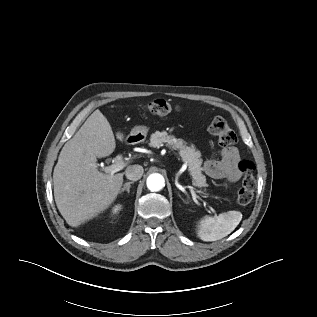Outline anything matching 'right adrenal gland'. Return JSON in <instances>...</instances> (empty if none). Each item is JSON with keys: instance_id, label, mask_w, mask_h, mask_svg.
Instances as JSON below:
<instances>
[{"instance_id": "right-adrenal-gland-1", "label": "right adrenal gland", "mask_w": 317, "mask_h": 317, "mask_svg": "<svg viewBox=\"0 0 317 317\" xmlns=\"http://www.w3.org/2000/svg\"><path fill=\"white\" fill-rule=\"evenodd\" d=\"M133 182H127L124 184L123 188L119 191V194H122L124 191L130 192V187Z\"/></svg>"}]
</instances>
